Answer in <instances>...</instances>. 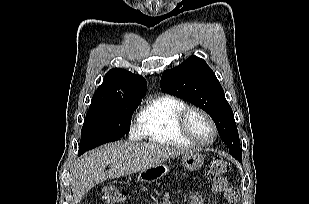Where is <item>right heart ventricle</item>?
Segmentation results:
<instances>
[{"mask_svg": "<svg viewBox=\"0 0 309 204\" xmlns=\"http://www.w3.org/2000/svg\"><path fill=\"white\" fill-rule=\"evenodd\" d=\"M186 106L182 99L171 95L149 100L137 117L140 136L158 144L191 146L178 127L179 114Z\"/></svg>", "mask_w": 309, "mask_h": 204, "instance_id": "right-heart-ventricle-1", "label": "right heart ventricle"}]
</instances>
